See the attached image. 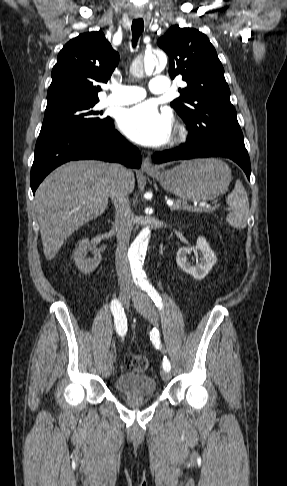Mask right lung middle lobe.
Listing matches in <instances>:
<instances>
[{"label":"right lung middle lobe","instance_id":"right-lung-middle-lobe-1","mask_svg":"<svg viewBox=\"0 0 287 486\" xmlns=\"http://www.w3.org/2000/svg\"><path fill=\"white\" fill-rule=\"evenodd\" d=\"M99 99L71 101L46 107L39 136L88 131L103 126L109 117L94 109Z\"/></svg>","mask_w":287,"mask_h":486}]
</instances>
